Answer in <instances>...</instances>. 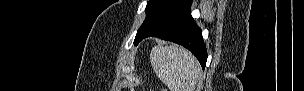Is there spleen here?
Wrapping results in <instances>:
<instances>
[{"label": "spleen", "instance_id": "spleen-1", "mask_svg": "<svg viewBox=\"0 0 304 91\" xmlns=\"http://www.w3.org/2000/svg\"><path fill=\"white\" fill-rule=\"evenodd\" d=\"M154 72L170 91H195L201 75L196 58L178 45L155 46L150 53Z\"/></svg>", "mask_w": 304, "mask_h": 91}]
</instances>
